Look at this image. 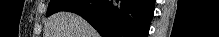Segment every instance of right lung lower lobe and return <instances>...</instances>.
Segmentation results:
<instances>
[{
  "label": "right lung lower lobe",
  "mask_w": 219,
  "mask_h": 37,
  "mask_svg": "<svg viewBox=\"0 0 219 37\" xmlns=\"http://www.w3.org/2000/svg\"><path fill=\"white\" fill-rule=\"evenodd\" d=\"M154 0H78L62 11L88 21L102 37H147Z\"/></svg>",
  "instance_id": "obj_1"
}]
</instances>
